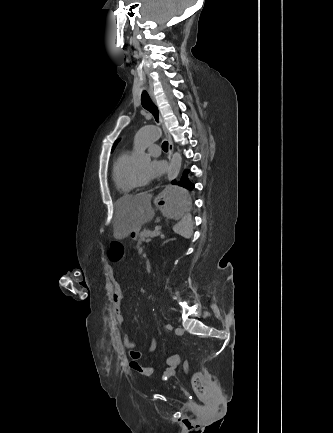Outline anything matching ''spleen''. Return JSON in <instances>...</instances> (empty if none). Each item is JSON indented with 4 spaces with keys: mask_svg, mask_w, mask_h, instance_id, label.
I'll return each mask as SVG.
<instances>
[{
    "mask_svg": "<svg viewBox=\"0 0 333 433\" xmlns=\"http://www.w3.org/2000/svg\"><path fill=\"white\" fill-rule=\"evenodd\" d=\"M173 231L186 239L191 237L193 232V221L190 210H188L184 220H178V222L173 226Z\"/></svg>",
    "mask_w": 333,
    "mask_h": 433,
    "instance_id": "spleen-1",
    "label": "spleen"
}]
</instances>
